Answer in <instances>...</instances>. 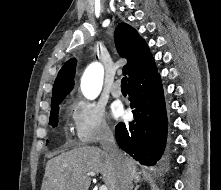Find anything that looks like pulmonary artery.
<instances>
[{"label": "pulmonary artery", "mask_w": 221, "mask_h": 190, "mask_svg": "<svg viewBox=\"0 0 221 190\" xmlns=\"http://www.w3.org/2000/svg\"><path fill=\"white\" fill-rule=\"evenodd\" d=\"M110 92L114 97H120L122 95V90L120 87V83L119 82H115L111 88H110Z\"/></svg>", "instance_id": "e3ab8cb5"}]
</instances>
